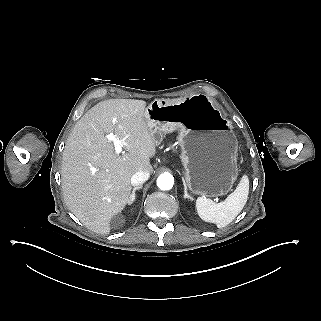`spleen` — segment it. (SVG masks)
I'll use <instances>...</instances> for the list:
<instances>
[{
    "mask_svg": "<svg viewBox=\"0 0 321 321\" xmlns=\"http://www.w3.org/2000/svg\"><path fill=\"white\" fill-rule=\"evenodd\" d=\"M248 190V179L244 176L236 190L219 204H215L212 200L203 197L197 198V214L203 221L214 223L217 228H223L230 224L245 206Z\"/></svg>",
    "mask_w": 321,
    "mask_h": 321,
    "instance_id": "1",
    "label": "spleen"
}]
</instances>
